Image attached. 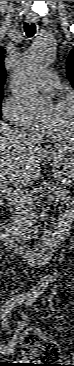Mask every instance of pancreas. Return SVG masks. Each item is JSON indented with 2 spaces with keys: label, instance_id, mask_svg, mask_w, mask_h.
I'll return each instance as SVG.
<instances>
[{
  "label": "pancreas",
  "instance_id": "cf45deb5",
  "mask_svg": "<svg viewBox=\"0 0 74 366\" xmlns=\"http://www.w3.org/2000/svg\"><path fill=\"white\" fill-rule=\"evenodd\" d=\"M40 194H46L49 197L60 200L62 203H71L72 197L70 191L59 187L51 182H43L40 186L30 190L27 193L28 199H9L11 204L17 210L16 215L13 217L10 230L14 236L24 241L31 238V234L35 232L39 225L36 224L35 213L32 212L34 208V201ZM29 198H32L30 200Z\"/></svg>",
  "mask_w": 74,
  "mask_h": 366
}]
</instances>
